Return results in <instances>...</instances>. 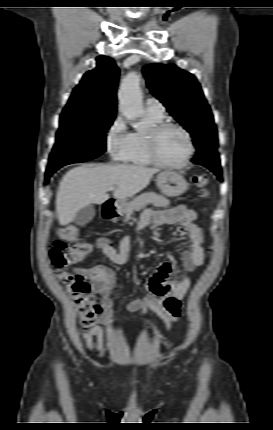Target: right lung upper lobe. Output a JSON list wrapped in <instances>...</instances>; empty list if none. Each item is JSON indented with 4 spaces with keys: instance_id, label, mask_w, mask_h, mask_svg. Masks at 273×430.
Instances as JSON below:
<instances>
[{
    "instance_id": "1",
    "label": "right lung upper lobe",
    "mask_w": 273,
    "mask_h": 430,
    "mask_svg": "<svg viewBox=\"0 0 273 430\" xmlns=\"http://www.w3.org/2000/svg\"><path fill=\"white\" fill-rule=\"evenodd\" d=\"M118 75L119 70L113 59L106 56L98 57L96 68L83 76L63 111H76L94 116H115Z\"/></svg>"
}]
</instances>
